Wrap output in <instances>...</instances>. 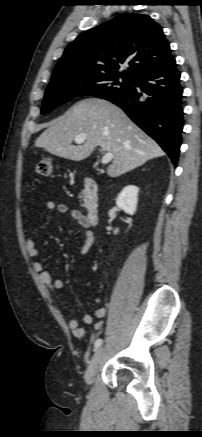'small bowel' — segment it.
Instances as JSON below:
<instances>
[{
  "mask_svg": "<svg viewBox=\"0 0 202 437\" xmlns=\"http://www.w3.org/2000/svg\"><path fill=\"white\" fill-rule=\"evenodd\" d=\"M46 207L49 211H53L58 214H69L70 218L73 221L77 222L81 227H83L86 238L82 246L81 253L87 254L90 251L94 242L93 231L91 230V225L88 222L87 216L77 209H70L67 205L57 204L54 201H48ZM26 250L28 255L32 258H37L41 254L40 250L36 246L34 238H29L26 241ZM32 267L33 270L37 273L39 280L45 286H47L50 291L57 292L63 288V281L61 279H53L50 273L44 269V265L41 261L35 260L32 263ZM106 315L107 309L102 307L96 309L93 314H85L82 320L84 324L89 325L93 322L94 318L103 319ZM67 324L75 337L80 339L86 337L85 330L80 327L79 321L76 318H69ZM104 325V322H98L94 327L95 332L101 331Z\"/></svg>",
  "mask_w": 202,
  "mask_h": 437,
  "instance_id": "1",
  "label": "small bowel"
}]
</instances>
